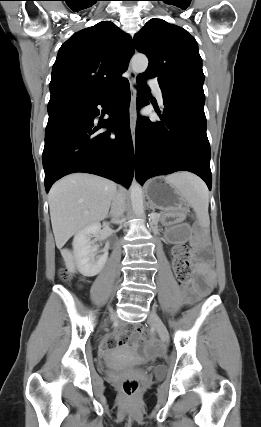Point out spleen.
Listing matches in <instances>:
<instances>
[{
	"instance_id": "3e777b00",
	"label": "spleen",
	"mask_w": 261,
	"mask_h": 427,
	"mask_svg": "<svg viewBox=\"0 0 261 427\" xmlns=\"http://www.w3.org/2000/svg\"><path fill=\"white\" fill-rule=\"evenodd\" d=\"M167 180L176 185L183 198L195 211L200 225L208 229L210 225L208 214L209 193L205 183L197 176L187 172L167 176Z\"/></svg>"
}]
</instances>
